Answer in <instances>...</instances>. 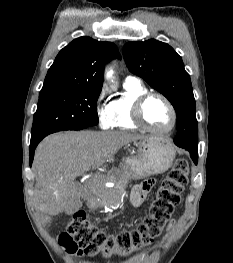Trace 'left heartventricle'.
I'll return each instance as SVG.
<instances>
[{"instance_id":"b2bd125f","label":"left heart ventricle","mask_w":233,"mask_h":263,"mask_svg":"<svg viewBox=\"0 0 233 263\" xmlns=\"http://www.w3.org/2000/svg\"><path fill=\"white\" fill-rule=\"evenodd\" d=\"M144 117L148 124L156 129H166L172 121L167 105L157 97L147 101L144 107Z\"/></svg>"}]
</instances>
